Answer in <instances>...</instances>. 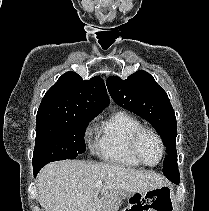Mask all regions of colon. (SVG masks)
I'll return each instance as SVG.
<instances>
[{
	"label": "colon",
	"mask_w": 209,
	"mask_h": 211,
	"mask_svg": "<svg viewBox=\"0 0 209 211\" xmlns=\"http://www.w3.org/2000/svg\"><path fill=\"white\" fill-rule=\"evenodd\" d=\"M170 208L169 190L160 188L132 196L123 211H169Z\"/></svg>",
	"instance_id": "1"
}]
</instances>
